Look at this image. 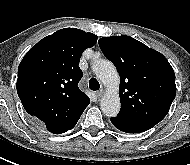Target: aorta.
I'll return each instance as SVG.
<instances>
[{
  "label": "aorta",
  "mask_w": 190,
  "mask_h": 165,
  "mask_svg": "<svg viewBox=\"0 0 190 165\" xmlns=\"http://www.w3.org/2000/svg\"><path fill=\"white\" fill-rule=\"evenodd\" d=\"M92 70L108 88L107 93L100 101V108L106 116L115 117L120 110L118 72L112 62L107 59L96 60L92 65Z\"/></svg>",
  "instance_id": "obj_1"
}]
</instances>
